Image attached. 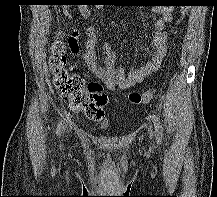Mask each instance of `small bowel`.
Masks as SVG:
<instances>
[{
  "label": "small bowel",
  "instance_id": "c3829d8e",
  "mask_svg": "<svg viewBox=\"0 0 217 197\" xmlns=\"http://www.w3.org/2000/svg\"><path fill=\"white\" fill-rule=\"evenodd\" d=\"M152 10L161 14V18L155 23V32L152 38L154 53L144 65L132 68L128 74H126L122 67H116L117 55L108 45L103 47L104 65H99L96 55L98 45L97 32L94 27L87 28V40L83 59L87 67L103 80L109 90L116 88L128 89L139 84L158 70L164 60L167 52V33L165 28L172 20V7L167 4L155 5ZM81 12L84 16L91 15L87 8H81ZM64 16L68 21L74 20V13L70 8L64 9ZM68 44L72 55H75L78 48L76 33L69 39Z\"/></svg>",
  "mask_w": 217,
  "mask_h": 197
}]
</instances>
